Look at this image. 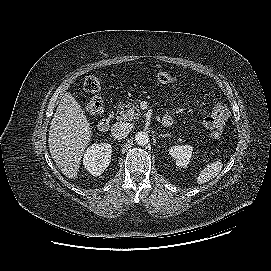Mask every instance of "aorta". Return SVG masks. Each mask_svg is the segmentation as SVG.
<instances>
[{
    "mask_svg": "<svg viewBox=\"0 0 271 271\" xmlns=\"http://www.w3.org/2000/svg\"><path fill=\"white\" fill-rule=\"evenodd\" d=\"M135 141L138 145L144 146L148 144L149 136L146 132L140 131L135 134Z\"/></svg>",
    "mask_w": 271,
    "mask_h": 271,
    "instance_id": "obj_1",
    "label": "aorta"
}]
</instances>
